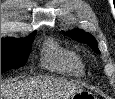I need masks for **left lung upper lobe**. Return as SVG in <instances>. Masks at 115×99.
Listing matches in <instances>:
<instances>
[{
  "label": "left lung upper lobe",
  "mask_w": 115,
  "mask_h": 99,
  "mask_svg": "<svg viewBox=\"0 0 115 99\" xmlns=\"http://www.w3.org/2000/svg\"><path fill=\"white\" fill-rule=\"evenodd\" d=\"M64 34L70 36L78 42L88 44L96 53H100L97 41L91 34L85 33L82 30H73L67 33L64 32Z\"/></svg>",
  "instance_id": "5c2ea615"
}]
</instances>
